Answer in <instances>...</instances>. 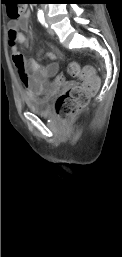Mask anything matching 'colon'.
<instances>
[{"mask_svg":"<svg viewBox=\"0 0 122 257\" xmlns=\"http://www.w3.org/2000/svg\"><path fill=\"white\" fill-rule=\"evenodd\" d=\"M5 10H9V17L16 19L20 16L19 5H5ZM15 67V64H14ZM71 76L81 81L79 86L72 87L62 93L56 100L55 111L57 116L67 121L79 113L88 103L89 98L99 88V79L91 67H80L76 62L68 66ZM66 74H53L49 90H66Z\"/></svg>","mask_w":122,"mask_h":257,"instance_id":"5ec220e1","label":"colon"}]
</instances>
